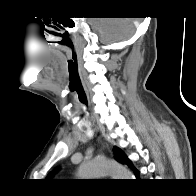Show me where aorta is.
Wrapping results in <instances>:
<instances>
[{"instance_id":"762f6f07","label":"aorta","mask_w":196,"mask_h":196,"mask_svg":"<svg viewBox=\"0 0 196 196\" xmlns=\"http://www.w3.org/2000/svg\"><path fill=\"white\" fill-rule=\"evenodd\" d=\"M110 175L114 179H133L132 173L123 165L108 159H93L82 163L78 176L82 179H95L96 177Z\"/></svg>"}]
</instances>
